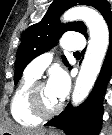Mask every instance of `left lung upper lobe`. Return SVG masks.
Returning <instances> with one entry per match:
<instances>
[{"label":"left lung upper lobe","instance_id":"left-lung-upper-lobe-1","mask_svg":"<svg viewBox=\"0 0 112 135\" xmlns=\"http://www.w3.org/2000/svg\"><path fill=\"white\" fill-rule=\"evenodd\" d=\"M76 5H88L96 8L106 22L112 17L111 6L106 0H55L43 18L38 23L29 26L22 34V41L17 50L15 62V85L20 80L25 67L35 57L56 45V41L64 32L72 30L86 34V26L81 21L70 22L69 24H62L59 21L60 15ZM62 59L69 66L64 56Z\"/></svg>","mask_w":112,"mask_h":135}]
</instances>
